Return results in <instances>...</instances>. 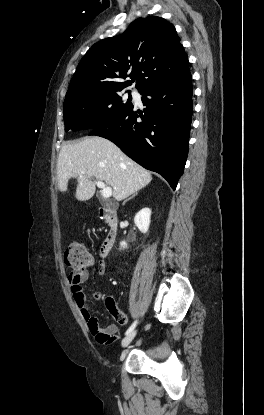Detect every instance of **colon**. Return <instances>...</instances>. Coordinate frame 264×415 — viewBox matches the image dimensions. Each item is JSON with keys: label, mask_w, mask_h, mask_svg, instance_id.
Returning <instances> with one entry per match:
<instances>
[{"label": "colon", "mask_w": 264, "mask_h": 415, "mask_svg": "<svg viewBox=\"0 0 264 415\" xmlns=\"http://www.w3.org/2000/svg\"><path fill=\"white\" fill-rule=\"evenodd\" d=\"M64 264L71 272L86 268L92 264L91 253L80 243H72L66 248ZM110 311L118 321L123 320V314L114 305L111 306Z\"/></svg>", "instance_id": "5ec220e1"}]
</instances>
